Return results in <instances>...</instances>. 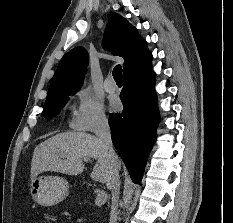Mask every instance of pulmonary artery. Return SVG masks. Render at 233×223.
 I'll return each instance as SVG.
<instances>
[{
	"label": "pulmonary artery",
	"instance_id": "e3ab8cb5",
	"mask_svg": "<svg viewBox=\"0 0 233 223\" xmlns=\"http://www.w3.org/2000/svg\"><path fill=\"white\" fill-rule=\"evenodd\" d=\"M105 88L108 92L113 93L117 90V86L112 77H108L105 82Z\"/></svg>",
	"mask_w": 233,
	"mask_h": 223
}]
</instances>
